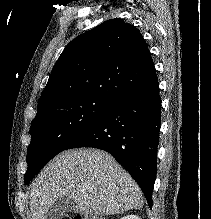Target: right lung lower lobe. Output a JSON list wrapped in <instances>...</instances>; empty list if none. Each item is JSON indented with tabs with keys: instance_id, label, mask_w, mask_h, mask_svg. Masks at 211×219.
Listing matches in <instances>:
<instances>
[{
	"instance_id": "98d812e1",
	"label": "right lung lower lobe",
	"mask_w": 211,
	"mask_h": 219,
	"mask_svg": "<svg viewBox=\"0 0 211 219\" xmlns=\"http://www.w3.org/2000/svg\"><path fill=\"white\" fill-rule=\"evenodd\" d=\"M161 126L156 75L141 88L115 101L66 148L92 147L110 153L134 178L152 208Z\"/></svg>"
}]
</instances>
